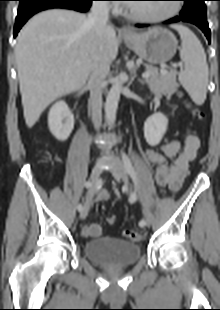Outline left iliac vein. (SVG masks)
Returning a JSON list of instances; mask_svg holds the SVG:
<instances>
[{"instance_id": "4c4485c4", "label": "left iliac vein", "mask_w": 220, "mask_h": 310, "mask_svg": "<svg viewBox=\"0 0 220 310\" xmlns=\"http://www.w3.org/2000/svg\"><path fill=\"white\" fill-rule=\"evenodd\" d=\"M111 172L113 176L115 177V179L122 180L126 186L129 185V180L126 175L123 163L117 157L113 158ZM144 222L147 227L151 226V220L147 215L144 216Z\"/></svg>"}]
</instances>
